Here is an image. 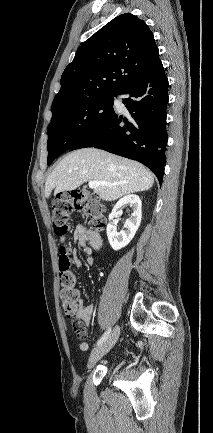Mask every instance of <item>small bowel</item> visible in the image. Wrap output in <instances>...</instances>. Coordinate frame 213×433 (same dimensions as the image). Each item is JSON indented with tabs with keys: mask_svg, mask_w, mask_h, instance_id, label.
I'll return each instance as SVG.
<instances>
[{
	"mask_svg": "<svg viewBox=\"0 0 213 433\" xmlns=\"http://www.w3.org/2000/svg\"><path fill=\"white\" fill-rule=\"evenodd\" d=\"M65 240V235L60 236V241ZM73 240L87 254L86 262L88 265H92L95 261V255L102 248V241L97 234L90 231L84 225H77L73 230ZM71 262L75 267L81 266V261L77 256L76 250H72L70 253ZM93 314V306H80L75 314L77 320L82 323L83 333L81 337L86 335V328L90 325ZM80 350L87 351L89 346L86 342H81L79 345Z\"/></svg>",
	"mask_w": 213,
	"mask_h": 433,
	"instance_id": "small-bowel-1",
	"label": "small bowel"
}]
</instances>
